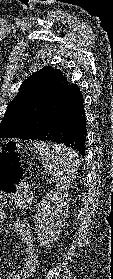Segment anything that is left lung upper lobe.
Listing matches in <instances>:
<instances>
[{
    "mask_svg": "<svg viewBox=\"0 0 113 279\" xmlns=\"http://www.w3.org/2000/svg\"><path fill=\"white\" fill-rule=\"evenodd\" d=\"M62 76L61 70L48 66L25 79L0 123V138H18L36 106L48 97Z\"/></svg>",
    "mask_w": 113,
    "mask_h": 279,
    "instance_id": "1",
    "label": "left lung upper lobe"
}]
</instances>
